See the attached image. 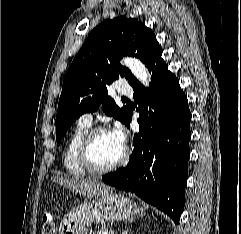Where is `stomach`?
Listing matches in <instances>:
<instances>
[{"label":"stomach","mask_w":241,"mask_h":234,"mask_svg":"<svg viewBox=\"0 0 241 234\" xmlns=\"http://www.w3.org/2000/svg\"><path fill=\"white\" fill-rule=\"evenodd\" d=\"M138 211L135 202L109 191L72 209L61 221L59 231L60 234H87L86 228L92 223L131 220Z\"/></svg>","instance_id":"1"}]
</instances>
